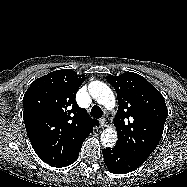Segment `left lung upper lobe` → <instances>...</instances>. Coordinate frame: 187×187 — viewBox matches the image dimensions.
<instances>
[{"instance_id": "left-lung-upper-lobe-1", "label": "left lung upper lobe", "mask_w": 187, "mask_h": 187, "mask_svg": "<svg viewBox=\"0 0 187 187\" xmlns=\"http://www.w3.org/2000/svg\"><path fill=\"white\" fill-rule=\"evenodd\" d=\"M106 78L118 97L116 146L146 160L163 134L168 113L164 98L144 77L134 72Z\"/></svg>"}]
</instances>
